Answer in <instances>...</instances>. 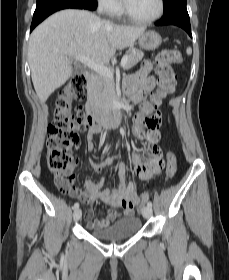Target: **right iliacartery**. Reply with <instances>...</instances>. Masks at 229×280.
<instances>
[{
	"label": "right iliac artery",
	"instance_id": "obj_1",
	"mask_svg": "<svg viewBox=\"0 0 229 280\" xmlns=\"http://www.w3.org/2000/svg\"><path fill=\"white\" fill-rule=\"evenodd\" d=\"M78 208H79V203L76 202L73 206V209H78Z\"/></svg>",
	"mask_w": 229,
	"mask_h": 280
}]
</instances>
